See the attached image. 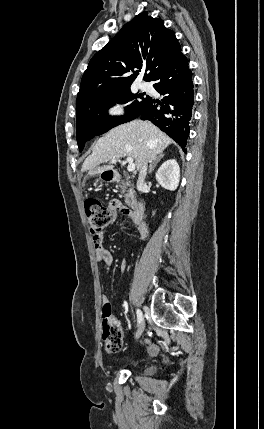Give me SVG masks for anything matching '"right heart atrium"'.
<instances>
[{
	"instance_id": "d8ad5b80",
	"label": "right heart atrium",
	"mask_w": 264,
	"mask_h": 429,
	"mask_svg": "<svg viewBox=\"0 0 264 429\" xmlns=\"http://www.w3.org/2000/svg\"><path fill=\"white\" fill-rule=\"evenodd\" d=\"M104 113L108 118L118 120L126 115L127 107L125 103L115 100L107 104Z\"/></svg>"
}]
</instances>
